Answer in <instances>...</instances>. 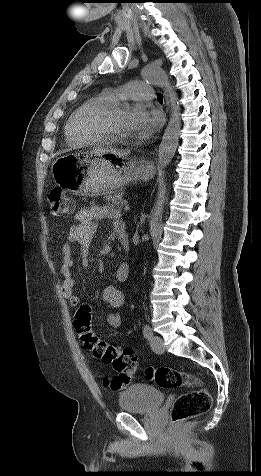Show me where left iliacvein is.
Instances as JSON below:
<instances>
[{
    "label": "left iliac vein",
    "instance_id": "left-iliac-vein-1",
    "mask_svg": "<svg viewBox=\"0 0 261 476\" xmlns=\"http://www.w3.org/2000/svg\"><path fill=\"white\" fill-rule=\"evenodd\" d=\"M150 346L155 353L161 354L165 351L163 340L159 336H152L150 338Z\"/></svg>",
    "mask_w": 261,
    "mask_h": 476
}]
</instances>
